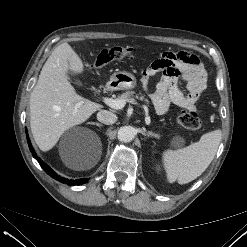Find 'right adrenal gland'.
<instances>
[{"label":"right adrenal gland","instance_id":"1","mask_svg":"<svg viewBox=\"0 0 247 247\" xmlns=\"http://www.w3.org/2000/svg\"><path fill=\"white\" fill-rule=\"evenodd\" d=\"M89 124L96 125V126H98V127H101V126H102V124H100V123H98V122H90Z\"/></svg>","mask_w":247,"mask_h":247}]
</instances>
